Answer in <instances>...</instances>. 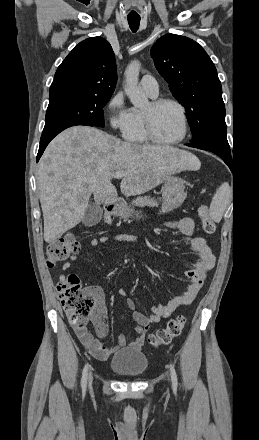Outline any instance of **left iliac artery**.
<instances>
[{
	"label": "left iliac artery",
	"instance_id": "left-iliac-artery-1",
	"mask_svg": "<svg viewBox=\"0 0 259 440\" xmlns=\"http://www.w3.org/2000/svg\"><path fill=\"white\" fill-rule=\"evenodd\" d=\"M170 372H171V380L173 387L176 388L178 386V380H177L175 368L172 364H170Z\"/></svg>",
	"mask_w": 259,
	"mask_h": 440
}]
</instances>
